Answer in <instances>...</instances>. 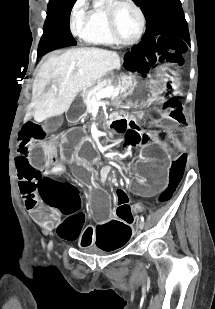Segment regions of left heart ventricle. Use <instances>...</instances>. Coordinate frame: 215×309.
I'll return each mask as SVG.
<instances>
[{
  "label": "left heart ventricle",
  "mask_w": 215,
  "mask_h": 309,
  "mask_svg": "<svg viewBox=\"0 0 215 309\" xmlns=\"http://www.w3.org/2000/svg\"><path fill=\"white\" fill-rule=\"evenodd\" d=\"M114 13H117V20L114 22H117L118 34H127L130 39L135 31L134 14L126 8H119Z\"/></svg>",
  "instance_id": "1"
}]
</instances>
